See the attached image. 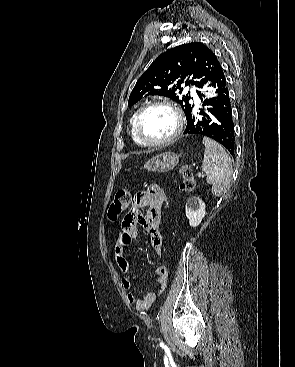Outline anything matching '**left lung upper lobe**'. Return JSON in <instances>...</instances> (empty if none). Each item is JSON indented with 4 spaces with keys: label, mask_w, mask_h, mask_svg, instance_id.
<instances>
[{
    "label": "left lung upper lobe",
    "mask_w": 295,
    "mask_h": 367,
    "mask_svg": "<svg viewBox=\"0 0 295 367\" xmlns=\"http://www.w3.org/2000/svg\"><path fill=\"white\" fill-rule=\"evenodd\" d=\"M218 63L215 54L201 42L172 48L158 56L138 79L128 105L132 106L149 95H161L179 103L186 114L192 106L189 103L191 97L190 94L180 96L181 85L202 88Z\"/></svg>",
    "instance_id": "obj_1"
}]
</instances>
